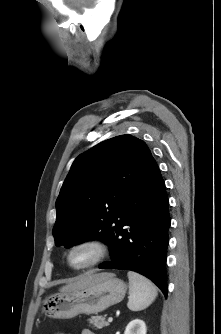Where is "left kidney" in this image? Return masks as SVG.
<instances>
[{
	"mask_svg": "<svg viewBox=\"0 0 221 334\" xmlns=\"http://www.w3.org/2000/svg\"><path fill=\"white\" fill-rule=\"evenodd\" d=\"M124 334H146V324L141 319H134L128 323Z\"/></svg>",
	"mask_w": 221,
	"mask_h": 334,
	"instance_id": "1",
	"label": "left kidney"
}]
</instances>
